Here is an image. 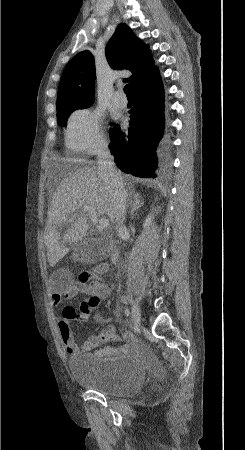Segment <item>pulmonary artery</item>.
Instances as JSON below:
<instances>
[{"instance_id":"obj_1","label":"pulmonary artery","mask_w":245,"mask_h":450,"mask_svg":"<svg viewBox=\"0 0 245 450\" xmlns=\"http://www.w3.org/2000/svg\"><path fill=\"white\" fill-rule=\"evenodd\" d=\"M112 101L116 106L120 108H124L127 105V97L120 89L113 93Z\"/></svg>"}]
</instances>
